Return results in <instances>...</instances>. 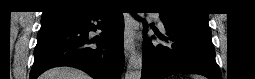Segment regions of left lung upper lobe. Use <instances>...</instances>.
I'll use <instances>...</instances> for the list:
<instances>
[{"instance_id": "5c2ea615", "label": "left lung upper lobe", "mask_w": 255, "mask_h": 79, "mask_svg": "<svg viewBox=\"0 0 255 79\" xmlns=\"http://www.w3.org/2000/svg\"><path fill=\"white\" fill-rule=\"evenodd\" d=\"M159 10L173 21H197L208 24V14H202L195 11H186L181 8L180 2L174 0H163L159 2Z\"/></svg>"}]
</instances>
